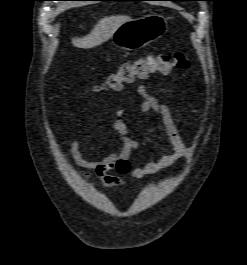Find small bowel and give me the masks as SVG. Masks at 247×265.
Returning a JSON list of instances; mask_svg holds the SVG:
<instances>
[{
	"mask_svg": "<svg viewBox=\"0 0 247 265\" xmlns=\"http://www.w3.org/2000/svg\"><path fill=\"white\" fill-rule=\"evenodd\" d=\"M163 92L171 93L172 88L167 86L163 89ZM138 93L142 97L140 111L142 113H153L159 117L166 137L172 146V152L156 161H150L144 166L133 168L129 157L132 152L139 148L140 143L129 135L128 128L122 120L124 111L119 108L115 112L117 119L112 125L113 131L117 136L118 145L111 154L101 160H87L82 155V144L79 141L71 143L70 152L73 160L79 167L86 170L80 172L83 178L94 177L105 188L119 189L127 185L124 176H128L131 179H140L153 175L171 167L178 160L191 155L190 148L180 136L174 124L169 107L150 93L144 85L138 87ZM112 171L117 172L119 175L111 174Z\"/></svg>",
	"mask_w": 247,
	"mask_h": 265,
	"instance_id": "1",
	"label": "small bowel"
}]
</instances>
